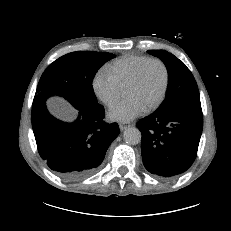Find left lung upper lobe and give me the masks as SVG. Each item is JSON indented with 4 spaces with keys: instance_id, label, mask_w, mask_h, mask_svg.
<instances>
[{
    "instance_id": "obj_1",
    "label": "left lung upper lobe",
    "mask_w": 231,
    "mask_h": 231,
    "mask_svg": "<svg viewBox=\"0 0 231 231\" xmlns=\"http://www.w3.org/2000/svg\"><path fill=\"white\" fill-rule=\"evenodd\" d=\"M148 53L160 58L168 72L166 99L157 112L172 111L186 103H200L195 78L181 60L165 50H148Z\"/></svg>"
}]
</instances>
